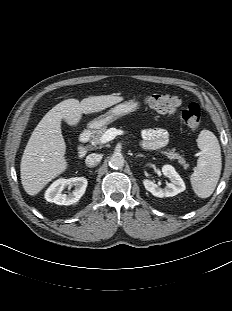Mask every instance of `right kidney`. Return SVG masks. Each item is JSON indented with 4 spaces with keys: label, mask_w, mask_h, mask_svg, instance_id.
Returning a JSON list of instances; mask_svg holds the SVG:
<instances>
[{
    "label": "right kidney",
    "mask_w": 232,
    "mask_h": 311,
    "mask_svg": "<svg viewBox=\"0 0 232 311\" xmlns=\"http://www.w3.org/2000/svg\"><path fill=\"white\" fill-rule=\"evenodd\" d=\"M88 181L84 177L58 179L46 190L45 199L58 205H71L76 203L85 193ZM74 186L73 192L63 194L65 187Z\"/></svg>",
    "instance_id": "ca27d5eb"
}]
</instances>
